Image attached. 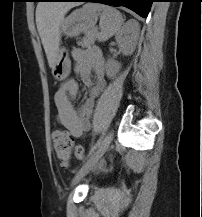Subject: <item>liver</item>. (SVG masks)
Here are the masks:
<instances>
[{
  "mask_svg": "<svg viewBox=\"0 0 202 217\" xmlns=\"http://www.w3.org/2000/svg\"><path fill=\"white\" fill-rule=\"evenodd\" d=\"M78 4L63 2H40L36 8L37 29L48 59L53 68L59 50L60 24L66 13Z\"/></svg>",
  "mask_w": 202,
  "mask_h": 217,
  "instance_id": "obj_1",
  "label": "liver"
}]
</instances>
